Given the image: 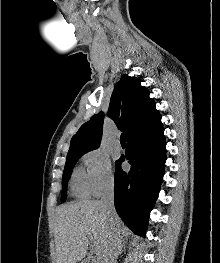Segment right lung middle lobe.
Listing matches in <instances>:
<instances>
[{
    "instance_id": "1",
    "label": "right lung middle lobe",
    "mask_w": 220,
    "mask_h": 263,
    "mask_svg": "<svg viewBox=\"0 0 220 263\" xmlns=\"http://www.w3.org/2000/svg\"><path fill=\"white\" fill-rule=\"evenodd\" d=\"M86 152L83 153H72V154H67V159H66V164L65 168L63 171V177H62V182H63V195L61 198V201L64 202L67 198L66 195V187L68 180L71 176L73 167L75 166L76 162L85 154Z\"/></svg>"
}]
</instances>
